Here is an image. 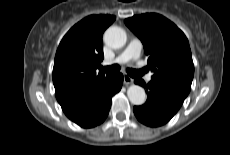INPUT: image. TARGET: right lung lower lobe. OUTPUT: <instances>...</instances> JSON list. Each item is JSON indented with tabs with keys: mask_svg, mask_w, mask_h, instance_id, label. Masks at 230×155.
<instances>
[{
	"mask_svg": "<svg viewBox=\"0 0 230 155\" xmlns=\"http://www.w3.org/2000/svg\"><path fill=\"white\" fill-rule=\"evenodd\" d=\"M122 83L121 73L112 74L86 95L61 104L62 110L70 120L79 126L95 127L106 119L111 107V99L120 91Z\"/></svg>",
	"mask_w": 230,
	"mask_h": 155,
	"instance_id": "right-lung-lower-lobe-1",
	"label": "right lung lower lobe"
}]
</instances>
